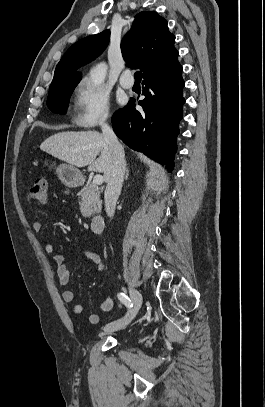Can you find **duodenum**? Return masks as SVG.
Masks as SVG:
<instances>
[{"instance_id":"obj_1","label":"duodenum","mask_w":265,"mask_h":407,"mask_svg":"<svg viewBox=\"0 0 265 407\" xmlns=\"http://www.w3.org/2000/svg\"><path fill=\"white\" fill-rule=\"evenodd\" d=\"M105 219L101 215H95L91 219V230L94 233L100 234L104 231Z\"/></svg>"}]
</instances>
